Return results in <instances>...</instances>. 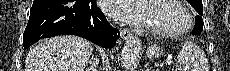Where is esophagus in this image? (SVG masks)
Returning <instances> with one entry per match:
<instances>
[{
    "instance_id": "esophagus-1",
    "label": "esophagus",
    "mask_w": 230,
    "mask_h": 71,
    "mask_svg": "<svg viewBox=\"0 0 230 71\" xmlns=\"http://www.w3.org/2000/svg\"><path fill=\"white\" fill-rule=\"evenodd\" d=\"M121 35V38L124 39V40H127L129 39L131 36H132V33L130 30L128 29H123L120 33Z\"/></svg>"
}]
</instances>
